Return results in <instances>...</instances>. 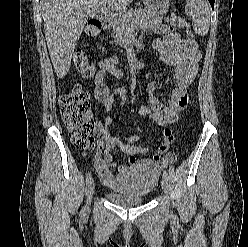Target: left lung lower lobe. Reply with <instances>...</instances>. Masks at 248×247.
I'll return each mask as SVG.
<instances>
[{
    "mask_svg": "<svg viewBox=\"0 0 248 247\" xmlns=\"http://www.w3.org/2000/svg\"><path fill=\"white\" fill-rule=\"evenodd\" d=\"M214 1H215V0H209V2H210V4H211L212 8H214Z\"/></svg>",
    "mask_w": 248,
    "mask_h": 247,
    "instance_id": "obj_1",
    "label": "left lung lower lobe"
}]
</instances>
